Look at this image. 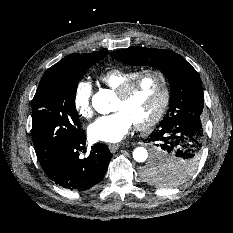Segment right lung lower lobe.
I'll return each instance as SVG.
<instances>
[{
	"label": "right lung lower lobe",
	"instance_id": "obj_1",
	"mask_svg": "<svg viewBox=\"0 0 233 233\" xmlns=\"http://www.w3.org/2000/svg\"><path fill=\"white\" fill-rule=\"evenodd\" d=\"M84 132L73 139L67 147L52 161L42 163L46 175L63 188L85 191L99 183L106 174L112 153L104 144L92 146L89 156L79 158L84 148Z\"/></svg>",
	"mask_w": 233,
	"mask_h": 233
}]
</instances>
